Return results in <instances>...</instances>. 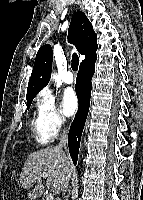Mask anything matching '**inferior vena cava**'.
Segmentation results:
<instances>
[{"mask_svg":"<svg viewBox=\"0 0 143 200\" xmlns=\"http://www.w3.org/2000/svg\"><path fill=\"white\" fill-rule=\"evenodd\" d=\"M66 142H67V135H66V131L63 130V133L61 134V138H60V143L58 144L57 148L62 149V148H66ZM65 188L68 187V181L65 183L64 185ZM65 200H68L67 197H65Z\"/></svg>","mask_w":143,"mask_h":200,"instance_id":"1","label":"inferior vena cava"}]
</instances>
